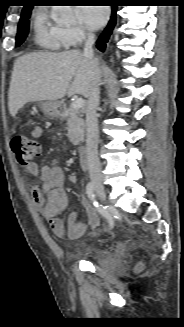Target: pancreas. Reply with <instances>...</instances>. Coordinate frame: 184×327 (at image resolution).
Wrapping results in <instances>:
<instances>
[{"label": "pancreas", "mask_w": 184, "mask_h": 327, "mask_svg": "<svg viewBox=\"0 0 184 327\" xmlns=\"http://www.w3.org/2000/svg\"><path fill=\"white\" fill-rule=\"evenodd\" d=\"M67 131L68 138L74 145H79L84 140L85 122L82 114L78 109L70 107L67 115Z\"/></svg>", "instance_id": "pancreas-1"}]
</instances>
